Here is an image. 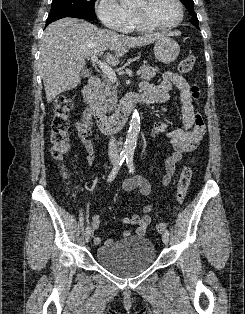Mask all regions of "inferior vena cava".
<instances>
[{
	"label": "inferior vena cava",
	"instance_id": "1",
	"mask_svg": "<svg viewBox=\"0 0 245 314\" xmlns=\"http://www.w3.org/2000/svg\"><path fill=\"white\" fill-rule=\"evenodd\" d=\"M118 148L116 144V139L112 136L110 141H109V146H108V155L110 160L115 161L118 158Z\"/></svg>",
	"mask_w": 245,
	"mask_h": 314
}]
</instances>
